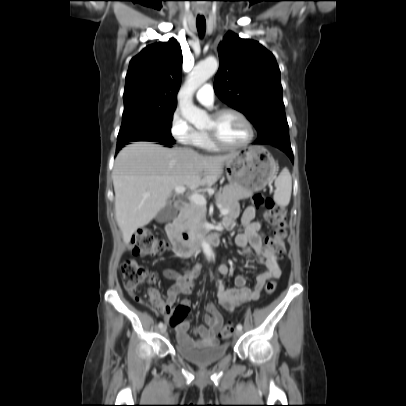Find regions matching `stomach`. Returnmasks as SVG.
<instances>
[{
  "mask_svg": "<svg viewBox=\"0 0 406 406\" xmlns=\"http://www.w3.org/2000/svg\"><path fill=\"white\" fill-rule=\"evenodd\" d=\"M277 168L272 155L262 146L234 153L225 165L230 184L251 192L261 191L274 178Z\"/></svg>",
  "mask_w": 406,
  "mask_h": 406,
  "instance_id": "0dacf381",
  "label": "stomach"
}]
</instances>
